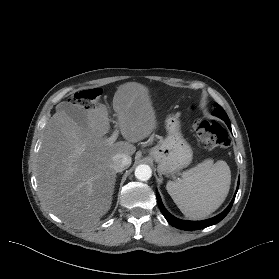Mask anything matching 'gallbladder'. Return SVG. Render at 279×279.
I'll list each match as a JSON object with an SVG mask.
<instances>
[{
  "mask_svg": "<svg viewBox=\"0 0 279 279\" xmlns=\"http://www.w3.org/2000/svg\"><path fill=\"white\" fill-rule=\"evenodd\" d=\"M59 106H60V108H64L67 115L72 120H74L78 125H80L82 127L87 126V113L82 107L72 105L67 102H62L59 104Z\"/></svg>",
  "mask_w": 279,
  "mask_h": 279,
  "instance_id": "1",
  "label": "gallbladder"
}]
</instances>
